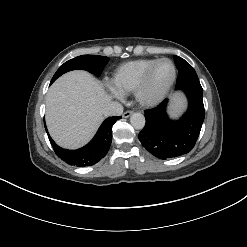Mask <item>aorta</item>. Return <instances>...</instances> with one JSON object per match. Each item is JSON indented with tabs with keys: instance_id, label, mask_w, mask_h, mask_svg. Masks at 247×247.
<instances>
[{
	"instance_id": "762f6f07",
	"label": "aorta",
	"mask_w": 247,
	"mask_h": 247,
	"mask_svg": "<svg viewBox=\"0 0 247 247\" xmlns=\"http://www.w3.org/2000/svg\"><path fill=\"white\" fill-rule=\"evenodd\" d=\"M145 117L141 113H134L130 117V123L135 129H142L145 126Z\"/></svg>"
}]
</instances>
